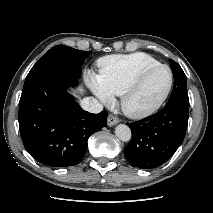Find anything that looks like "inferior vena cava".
I'll return each instance as SVG.
<instances>
[{"mask_svg": "<svg viewBox=\"0 0 213 213\" xmlns=\"http://www.w3.org/2000/svg\"><path fill=\"white\" fill-rule=\"evenodd\" d=\"M81 107L91 113H99L103 110L102 104L93 97H86L80 103Z\"/></svg>", "mask_w": 213, "mask_h": 213, "instance_id": "obj_1", "label": "inferior vena cava"}]
</instances>
